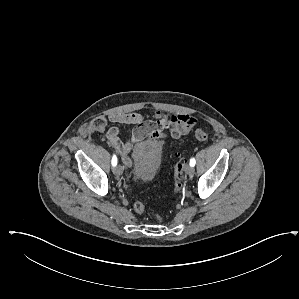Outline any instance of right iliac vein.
I'll return each instance as SVG.
<instances>
[{
  "label": "right iliac vein",
  "mask_w": 299,
  "mask_h": 299,
  "mask_svg": "<svg viewBox=\"0 0 299 299\" xmlns=\"http://www.w3.org/2000/svg\"><path fill=\"white\" fill-rule=\"evenodd\" d=\"M114 174L119 177L123 174V168L120 165H117L116 167L113 168Z\"/></svg>",
  "instance_id": "1"
}]
</instances>
